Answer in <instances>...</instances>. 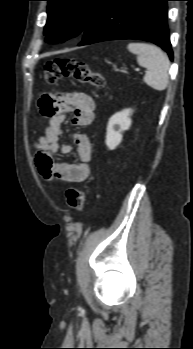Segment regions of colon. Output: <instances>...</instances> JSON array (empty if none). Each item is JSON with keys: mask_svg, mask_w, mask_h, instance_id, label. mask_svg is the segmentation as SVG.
I'll return each instance as SVG.
<instances>
[{"mask_svg": "<svg viewBox=\"0 0 193 349\" xmlns=\"http://www.w3.org/2000/svg\"><path fill=\"white\" fill-rule=\"evenodd\" d=\"M44 77L48 84H55L62 78H73L76 81L88 84L94 88H104L106 84L102 73L92 71L86 63L69 57H59L44 65ZM55 90L44 91L39 99V106L45 113H52L59 98ZM68 205L81 212L85 206V194L77 188H69L66 192Z\"/></svg>", "mask_w": 193, "mask_h": 349, "instance_id": "5ec220e1", "label": "colon"}]
</instances>
